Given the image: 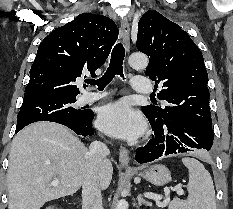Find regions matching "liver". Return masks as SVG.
Instances as JSON below:
<instances>
[{"label":"liver","instance_id":"1","mask_svg":"<svg viewBox=\"0 0 233 209\" xmlns=\"http://www.w3.org/2000/svg\"><path fill=\"white\" fill-rule=\"evenodd\" d=\"M86 146L67 128L39 122L13 139L7 174L8 209H40L46 202L70 196L83 184L88 170ZM112 163L98 170L99 187H109ZM58 179L59 184L51 182Z\"/></svg>","mask_w":233,"mask_h":209}]
</instances>
